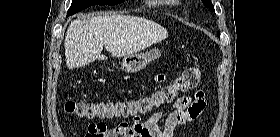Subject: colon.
Segmentation results:
<instances>
[{"mask_svg":"<svg viewBox=\"0 0 280 137\" xmlns=\"http://www.w3.org/2000/svg\"><path fill=\"white\" fill-rule=\"evenodd\" d=\"M201 79V70L198 67L184 69L175 80L167 84L152 95L124 100V101H68L64 105L67 113L82 119L136 117L146 114L155 107L168 102L179 92L194 90ZM137 133H126L122 137H138Z\"/></svg>","mask_w":280,"mask_h":137,"instance_id":"5ec220e1","label":"colon"}]
</instances>
